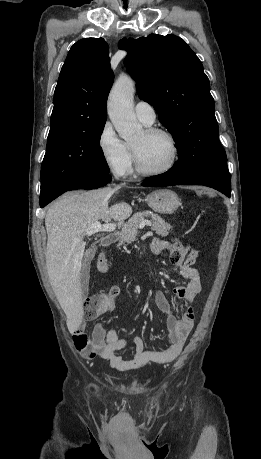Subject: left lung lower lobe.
<instances>
[{
	"label": "left lung lower lobe",
	"instance_id": "left-lung-lower-lobe-1",
	"mask_svg": "<svg viewBox=\"0 0 261 459\" xmlns=\"http://www.w3.org/2000/svg\"><path fill=\"white\" fill-rule=\"evenodd\" d=\"M197 184L214 188L226 196L231 195L230 174L226 162H220L198 167L187 174L171 168L166 173L150 177L142 186H168V185Z\"/></svg>",
	"mask_w": 261,
	"mask_h": 459
}]
</instances>
